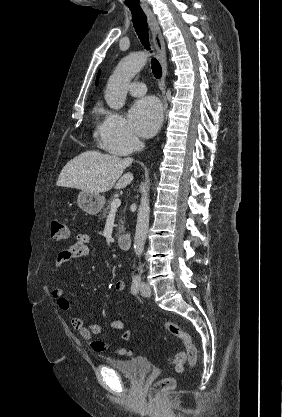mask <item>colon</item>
Segmentation results:
<instances>
[{"label":"colon","instance_id":"1","mask_svg":"<svg viewBox=\"0 0 282 417\" xmlns=\"http://www.w3.org/2000/svg\"><path fill=\"white\" fill-rule=\"evenodd\" d=\"M50 237L54 242H64L70 238V229L68 225L60 220H53L50 227ZM163 330L168 332L171 336L180 339L184 346L190 349V361L188 362L191 367L195 365L198 359V350L195 346L192 337L183 331L176 323L168 320H164L161 323ZM176 356L173 359V365L178 372H182V358L184 357V350L178 349ZM175 379L168 377L165 379H156L153 389H148L147 396L149 403H166V393L171 392V387L175 385Z\"/></svg>","mask_w":282,"mask_h":417}]
</instances>
